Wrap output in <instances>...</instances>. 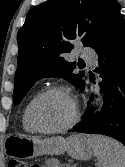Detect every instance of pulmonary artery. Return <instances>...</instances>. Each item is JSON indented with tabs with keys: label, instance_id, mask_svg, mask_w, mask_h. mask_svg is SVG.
<instances>
[{
	"label": "pulmonary artery",
	"instance_id": "obj_1",
	"mask_svg": "<svg viewBox=\"0 0 125 167\" xmlns=\"http://www.w3.org/2000/svg\"><path fill=\"white\" fill-rule=\"evenodd\" d=\"M83 57L86 59V60H88V61H95L96 60V55L93 53V52H91V51H89V50H84L83 51Z\"/></svg>",
	"mask_w": 125,
	"mask_h": 167
}]
</instances>
